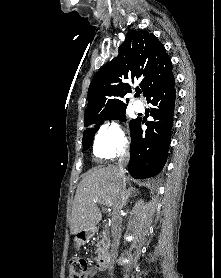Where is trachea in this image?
<instances>
[{
  "instance_id": "1",
  "label": "trachea",
  "mask_w": 221,
  "mask_h": 278,
  "mask_svg": "<svg viewBox=\"0 0 221 278\" xmlns=\"http://www.w3.org/2000/svg\"><path fill=\"white\" fill-rule=\"evenodd\" d=\"M141 95V90H137L135 96L139 97Z\"/></svg>"
}]
</instances>
